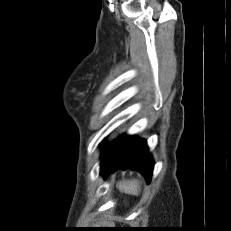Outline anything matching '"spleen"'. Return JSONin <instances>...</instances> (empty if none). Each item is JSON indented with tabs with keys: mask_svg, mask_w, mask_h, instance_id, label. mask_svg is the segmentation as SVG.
<instances>
[{
	"mask_svg": "<svg viewBox=\"0 0 231 231\" xmlns=\"http://www.w3.org/2000/svg\"><path fill=\"white\" fill-rule=\"evenodd\" d=\"M117 188L125 192L126 194H131V195H138L140 192V185L136 180H126L123 182H119L117 184Z\"/></svg>",
	"mask_w": 231,
	"mask_h": 231,
	"instance_id": "spleen-1",
	"label": "spleen"
}]
</instances>
